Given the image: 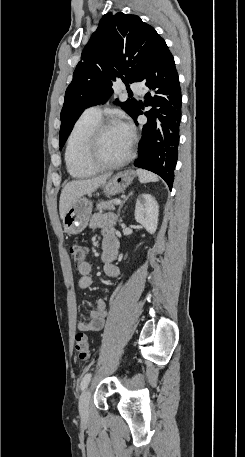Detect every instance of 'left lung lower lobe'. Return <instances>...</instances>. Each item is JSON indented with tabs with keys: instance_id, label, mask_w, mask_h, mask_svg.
<instances>
[{
	"instance_id": "1",
	"label": "left lung lower lobe",
	"mask_w": 245,
	"mask_h": 457,
	"mask_svg": "<svg viewBox=\"0 0 245 457\" xmlns=\"http://www.w3.org/2000/svg\"><path fill=\"white\" fill-rule=\"evenodd\" d=\"M138 82L146 89L144 104L152 106L145 112L148 121L143 126L139 157L134 166L161 176L172 189L178 158L181 122V88L175 62L164 40L159 41L149 56ZM137 103L131 117L143 114Z\"/></svg>"
}]
</instances>
